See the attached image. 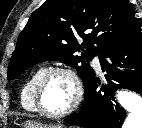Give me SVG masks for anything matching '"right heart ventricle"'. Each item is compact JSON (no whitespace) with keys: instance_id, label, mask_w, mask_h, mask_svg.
Returning <instances> with one entry per match:
<instances>
[{"instance_id":"right-heart-ventricle-1","label":"right heart ventricle","mask_w":142,"mask_h":128,"mask_svg":"<svg viewBox=\"0 0 142 128\" xmlns=\"http://www.w3.org/2000/svg\"><path fill=\"white\" fill-rule=\"evenodd\" d=\"M45 66H40L36 68L27 80L24 82L20 91V103L22 107L30 112H36L35 102H34V89L37 80L41 74L46 70Z\"/></svg>"}]
</instances>
